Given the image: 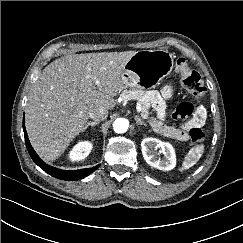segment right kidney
I'll return each instance as SVG.
<instances>
[{
  "instance_id": "1",
  "label": "right kidney",
  "mask_w": 243,
  "mask_h": 243,
  "mask_svg": "<svg viewBox=\"0 0 243 243\" xmlns=\"http://www.w3.org/2000/svg\"><path fill=\"white\" fill-rule=\"evenodd\" d=\"M92 143L88 141H82L76 144L69 152V158L71 161H80L85 159L92 150Z\"/></svg>"
}]
</instances>
